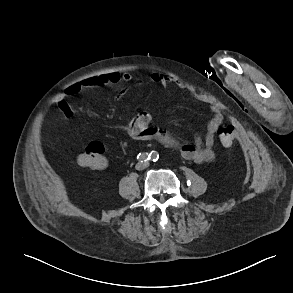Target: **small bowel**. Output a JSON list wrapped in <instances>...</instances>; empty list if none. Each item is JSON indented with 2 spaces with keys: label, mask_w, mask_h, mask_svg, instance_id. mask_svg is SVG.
Returning a JSON list of instances; mask_svg holds the SVG:
<instances>
[{
  "label": "small bowel",
  "mask_w": 293,
  "mask_h": 293,
  "mask_svg": "<svg viewBox=\"0 0 293 293\" xmlns=\"http://www.w3.org/2000/svg\"><path fill=\"white\" fill-rule=\"evenodd\" d=\"M132 77L128 73H111L95 77H90L80 83L69 85L62 93L56 95L54 102L66 117L73 115V109L69 106L68 101L73 96L80 93L83 89L95 87L117 86L121 82L130 83ZM150 81L162 86L173 84L182 88V84L173 78L159 72H154ZM136 86H141L142 82H136ZM203 101V99H201ZM213 116L208 123L207 135L204 139L197 137L193 142L181 143L176 140L169 132L152 125V117L146 112L139 113L128 125H116V128L124 130L135 140H154L158 143L178 150L181 155L190 161L196 163H209L215 158L213 150L215 144V132L223 122L221 111L213 107L211 109Z\"/></svg>",
  "instance_id": "small-bowel-1"
}]
</instances>
